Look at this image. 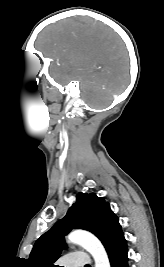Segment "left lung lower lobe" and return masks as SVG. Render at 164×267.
<instances>
[{
    "label": "left lung lower lobe",
    "instance_id": "0a47b994",
    "mask_svg": "<svg viewBox=\"0 0 164 267\" xmlns=\"http://www.w3.org/2000/svg\"><path fill=\"white\" fill-rule=\"evenodd\" d=\"M103 245L108 253L111 267H128L127 242L121 226L112 232Z\"/></svg>",
    "mask_w": 164,
    "mask_h": 267
}]
</instances>
